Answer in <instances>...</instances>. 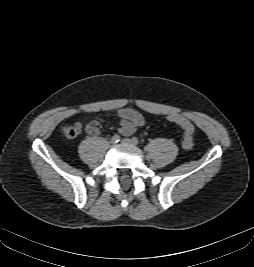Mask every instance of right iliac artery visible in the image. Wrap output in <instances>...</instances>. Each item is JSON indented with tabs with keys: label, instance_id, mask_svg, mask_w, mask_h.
Listing matches in <instances>:
<instances>
[{
	"label": "right iliac artery",
	"instance_id": "82829eb1",
	"mask_svg": "<svg viewBox=\"0 0 254 267\" xmlns=\"http://www.w3.org/2000/svg\"><path fill=\"white\" fill-rule=\"evenodd\" d=\"M120 141V136L119 135H114L112 138H111V142L112 143H117Z\"/></svg>",
	"mask_w": 254,
	"mask_h": 267
}]
</instances>
